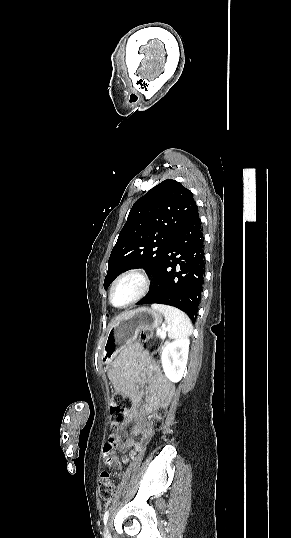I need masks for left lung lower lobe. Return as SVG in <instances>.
Here are the masks:
<instances>
[{
	"label": "left lung lower lobe",
	"instance_id": "0a47b994",
	"mask_svg": "<svg viewBox=\"0 0 291 538\" xmlns=\"http://www.w3.org/2000/svg\"><path fill=\"white\" fill-rule=\"evenodd\" d=\"M204 276V240L197 212L173 238L153 275L149 293L137 304L171 305L195 322Z\"/></svg>",
	"mask_w": 291,
	"mask_h": 538
}]
</instances>
